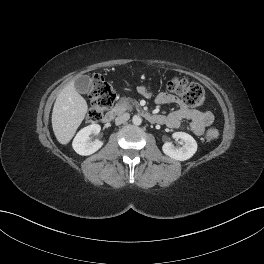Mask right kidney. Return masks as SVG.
I'll use <instances>...</instances> for the list:
<instances>
[{"label":"right kidney","instance_id":"ca27d5eb","mask_svg":"<svg viewBox=\"0 0 264 264\" xmlns=\"http://www.w3.org/2000/svg\"><path fill=\"white\" fill-rule=\"evenodd\" d=\"M101 127L98 124L89 125L81 129L73 140V149L79 155L87 156L95 153L104 144L103 141L95 140L90 142V135H98Z\"/></svg>","mask_w":264,"mask_h":264}]
</instances>
